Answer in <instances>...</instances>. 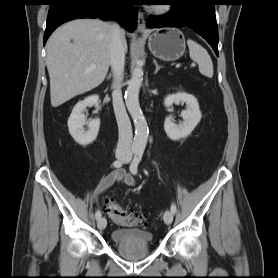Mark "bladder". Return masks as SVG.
<instances>
[{
    "label": "bladder",
    "mask_w": 278,
    "mask_h": 278,
    "mask_svg": "<svg viewBox=\"0 0 278 278\" xmlns=\"http://www.w3.org/2000/svg\"><path fill=\"white\" fill-rule=\"evenodd\" d=\"M111 239L116 245L139 247L150 245L154 235L150 231L140 228H119L112 231Z\"/></svg>",
    "instance_id": "obj_1"
}]
</instances>
